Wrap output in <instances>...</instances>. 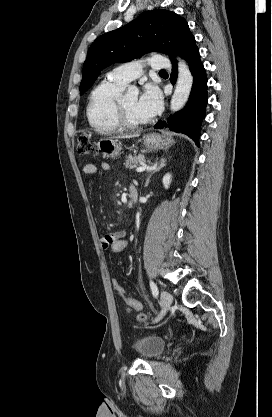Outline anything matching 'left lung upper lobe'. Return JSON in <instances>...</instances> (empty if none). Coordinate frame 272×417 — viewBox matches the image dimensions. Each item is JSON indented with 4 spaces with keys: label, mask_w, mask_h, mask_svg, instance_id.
<instances>
[{
    "label": "left lung upper lobe",
    "mask_w": 272,
    "mask_h": 417,
    "mask_svg": "<svg viewBox=\"0 0 272 417\" xmlns=\"http://www.w3.org/2000/svg\"><path fill=\"white\" fill-rule=\"evenodd\" d=\"M195 47V38L185 19L167 10L146 11L128 25L93 42L83 66L80 94L111 64L127 62L152 51L178 53L185 58ZM175 62L172 58V63Z\"/></svg>",
    "instance_id": "obj_1"
}]
</instances>
